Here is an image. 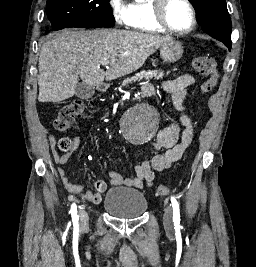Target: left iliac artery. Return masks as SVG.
I'll return each instance as SVG.
<instances>
[{
  "label": "left iliac artery",
  "instance_id": "left-iliac-artery-1",
  "mask_svg": "<svg viewBox=\"0 0 256 267\" xmlns=\"http://www.w3.org/2000/svg\"><path fill=\"white\" fill-rule=\"evenodd\" d=\"M171 203L173 207V222L174 225L177 226L180 224V209H179V204L175 197H171Z\"/></svg>",
  "mask_w": 256,
  "mask_h": 267
}]
</instances>
